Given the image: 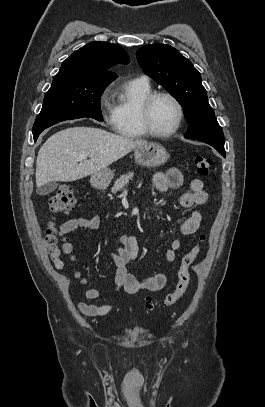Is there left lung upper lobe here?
Listing matches in <instances>:
<instances>
[{"instance_id": "left-lung-upper-lobe-1", "label": "left lung upper lobe", "mask_w": 265, "mask_h": 407, "mask_svg": "<svg viewBox=\"0 0 265 407\" xmlns=\"http://www.w3.org/2000/svg\"><path fill=\"white\" fill-rule=\"evenodd\" d=\"M145 72L162 85L183 107L189 123L185 138L224 150V136L207 100L201 76L192 63L170 45L153 44L136 52Z\"/></svg>"}]
</instances>
